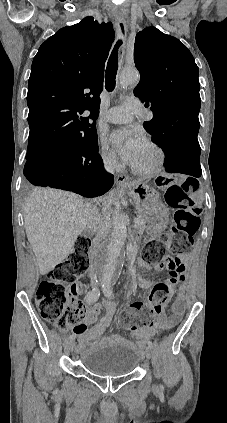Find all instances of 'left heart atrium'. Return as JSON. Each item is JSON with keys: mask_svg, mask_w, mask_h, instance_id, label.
Returning <instances> with one entry per match:
<instances>
[{"mask_svg": "<svg viewBox=\"0 0 227 423\" xmlns=\"http://www.w3.org/2000/svg\"><path fill=\"white\" fill-rule=\"evenodd\" d=\"M110 141L116 146L120 145V155L129 165H135L139 152L145 144L144 139L134 131H115L110 136Z\"/></svg>", "mask_w": 227, "mask_h": 423, "instance_id": "left-heart-atrium-1", "label": "left heart atrium"}]
</instances>
